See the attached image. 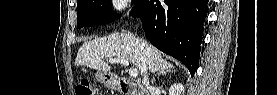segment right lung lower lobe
<instances>
[{
    "instance_id": "obj_1",
    "label": "right lung lower lobe",
    "mask_w": 277,
    "mask_h": 95,
    "mask_svg": "<svg viewBox=\"0 0 277 95\" xmlns=\"http://www.w3.org/2000/svg\"><path fill=\"white\" fill-rule=\"evenodd\" d=\"M208 0H138L131 11L140 17L146 37L156 48L180 60L191 76L198 69L202 25Z\"/></svg>"
}]
</instances>
